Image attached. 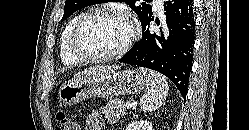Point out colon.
I'll use <instances>...</instances> for the list:
<instances>
[{
	"instance_id": "1",
	"label": "colon",
	"mask_w": 249,
	"mask_h": 130,
	"mask_svg": "<svg viewBox=\"0 0 249 130\" xmlns=\"http://www.w3.org/2000/svg\"><path fill=\"white\" fill-rule=\"evenodd\" d=\"M57 120L61 130H80L78 124L64 112H58Z\"/></svg>"
}]
</instances>
